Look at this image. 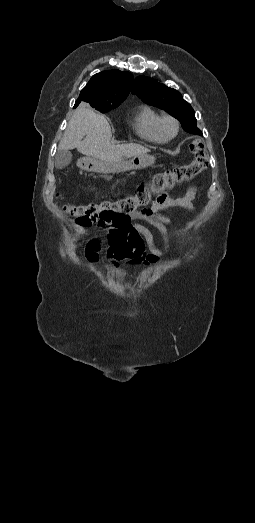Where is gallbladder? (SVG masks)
I'll use <instances>...</instances> for the list:
<instances>
[{"label": "gallbladder", "mask_w": 255, "mask_h": 523, "mask_svg": "<svg viewBox=\"0 0 255 523\" xmlns=\"http://www.w3.org/2000/svg\"><path fill=\"white\" fill-rule=\"evenodd\" d=\"M72 160V154L69 150H57L54 158L55 168L62 170L65 166H68Z\"/></svg>", "instance_id": "gallbladder-1"}]
</instances>
